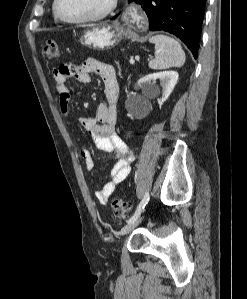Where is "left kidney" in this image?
<instances>
[{"instance_id":"1","label":"left kidney","mask_w":247,"mask_h":299,"mask_svg":"<svg viewBox=\"0 0 247 299\" xmlns=\"http://www.w3.org/2000/svg\"><path fill=\"white\" fill-rule=\"evenodd\" d=\"M178 73L176 71H162L153 73L144 77L141 81L144 89H155V83L159 79L162 86V100L168 99L178 81Z\"/></svg>"}]
</instances>
